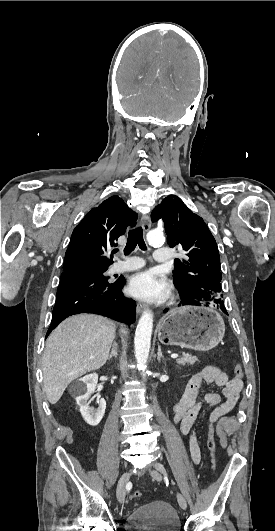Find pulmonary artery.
<instances>
[{
    "mask_svg": "<svg viewBox=\"0 0 275 531\" xmlns=\"http://www.w3.org/2000/svg\"><path fill=\"white\" fill-rule=\"evenodd\" d=\"M116 255L117 257L123 258L124 260L123 261L118 260L114 262L109 269L110 274H116V273L123 272V271H129V270L137 269L142 266V261L140 258L126 257L122 249H119ZM153 256H154L153 260L156 265H165L168 260L167 258L169 257V252L165 249H162V250L157 249L154 251Z\"/></svg>",
    "mask_w": 275,
    "mask_h": 531,
    "instance_id": "obj_1",
    "label": "pulmonary artery"
}]
</instances>
